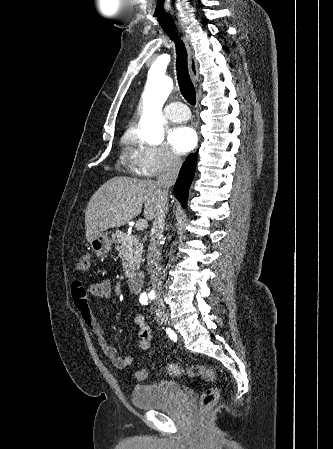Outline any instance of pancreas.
I'll return each instance as SVG.
<instances>
[{"label":"pancreas","mask_w":333,"mask_h":449,"mask_svg":"<svg viewBox=\"0 0 333 449\" xmlns=\"http://www.w3.org/2000/svg\"><path fill=\"white\" fill-rule=\"evenodd\" d=\"M112 237L116 243V250L123 257L124 274L129 278L140 266L143 257V244L140 243V238L136 235L116 232Z\"/></svg>","instance_id":"1"}]
</instances>
